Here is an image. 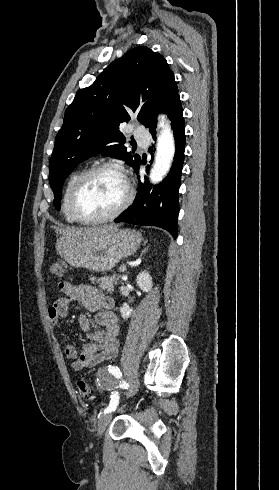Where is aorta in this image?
Instances as JSON below:
<instances>
[{
	"mask_svg": "<svg viewBox=\"0 0 279 490\" xmlns=\"http://www.w3.org/2000/svg\"><path fill=\"white\" fill-rule=\"evenodd\" d=\"M159 127L161 132L157 139L156 156L150 171V181L157 183L169 172L173 157L175 155V141L165 116H159Z\"/></svg>",
	"mask_w": 279,
	"mask_h": 490,
	"instance_id": "1",
	"label": "aorta"
}]
</instances>
